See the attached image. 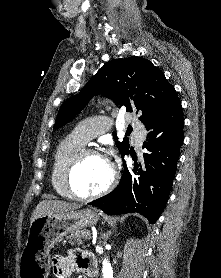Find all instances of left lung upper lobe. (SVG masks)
Wrapping results in <instances>:
<instances>
[{"label":"left lung upper lobe","instance_id":"obj_1","mask_svg":"<svg viewBox=\"0 0 221 278\" xmlns=\"http://www.w3.org/2000/svg\"><path fill=\"white\" fill-rule=\"evenodd\" d=\"M97 94L113 99L120 106L125 105L129 112H132L129 97L133 98L136 111L141 114L139 120L145 125L157 121L178 100L174 87L151 61L136 56L115 59L105 63L79 94L64 102L54 128L71 121ZM113 136L116 140L115 133ZM116 146L121 156L129 152L126 138L116 141Z\"/></svg>","mask_w":221,"mask_h":278}]
</instances>
